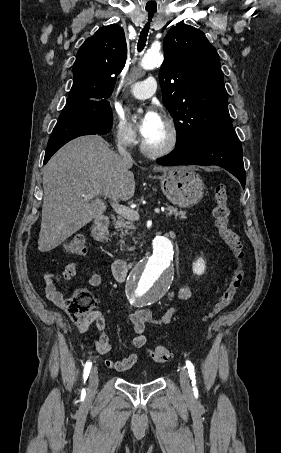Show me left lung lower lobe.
<instances>
[{"label": "left lung lower lobe", "instance_id": "left-lung-lower-lobe-1", "mask_svg": "<svg viewBox=\"0 0 281 453\" xmlns=\"http://www.w3.org/2000/svg\"><path fill=\"white\" fill-rule=\"evenodd\" d=\"M157 163L164 166L217 165L237 177L245 188L242 146L234 130L179 146Z\"/></svg>", "mask_w": 281, "mask_h": 453}]
</instances>
